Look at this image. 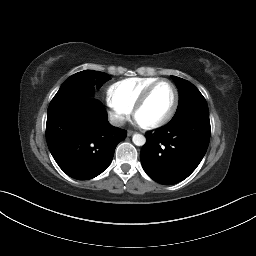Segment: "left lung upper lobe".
I'll return each mask as SVG.
<instances>
[{"mask_svg":"<svg viewBox=\"0 0 256 256\" xmlns=\"http://www.w3.org/2000/svg\"><path fill=\"white\" fill-rule=\"evenodd\" d=\"M179 90V104L172 120L186 114H198L209 117L207 102L200 91L189 81L171 76Z\"/></svg>","mask_w":256,"mask_h":256,"instance_id":"1","label":"left lung upper lobe"}]
</instances>
